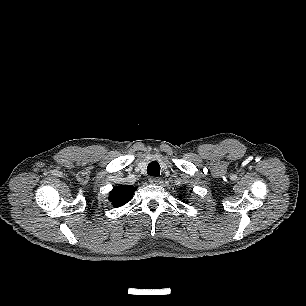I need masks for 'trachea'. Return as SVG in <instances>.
Here are the masks:
<instances>
[{"instance_id":"1","label":"trachea","mask_w":306,"mask_h":306,"mask_svg":"<svg viewBox=\"0 0 306 306\" xmlns=\"http://www.w3.org/2000/svg\"><path fill=\"white\" fill-rule=\"evenodd\" d=\"M147 174L154 177L160 175V165L158 164V162L153 161L148 165Z\"/></svg>"}]
</instances>
